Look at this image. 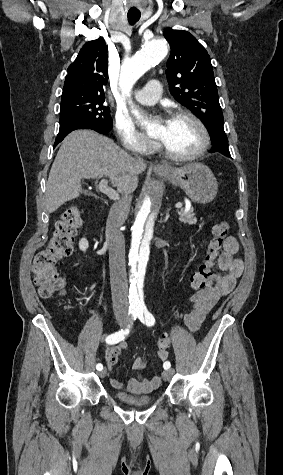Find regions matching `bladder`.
<instances>
[{"instance_id": "obj_1", "label": "bladder", "mask_w": 283, "mask_h": 475, "mask_svg": "<svg viewBox=\"0 0 283 475\" xmlns=\"http://www.w3.org/2000/svg\"><path fill=\"white\" fill-rule=\"evenodd\" d=\"M112 397L128 407H149L155 402L154 395H132L125 391H114Z\"/></svg>"}]
</instances>
